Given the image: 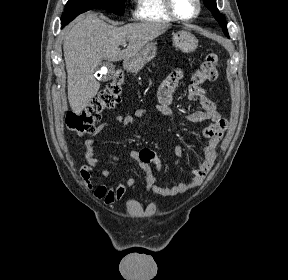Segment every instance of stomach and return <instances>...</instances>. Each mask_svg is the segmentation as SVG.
Segmentation results:
<instances>
[{
	"instance_id": "obj_1",
	"label": "stomach",
	"mask_w": 288,
	"mask_h": 280,
	"mask_svg": "<svg viewBox=\"0 0 288 280\" xmlns=\"http://www.w3.org/2000/svg\"><path fill=\"white\" fill-rule=\"evenodd\" d=\"M173 45L184 53L193 52L198 46L197 38L187 30H181L173 34ZM157 54L155 42L146 44L136 55L126 58L124 64L129 69L139 71L150 62Z\"/></svg>"
}]
</instances>
